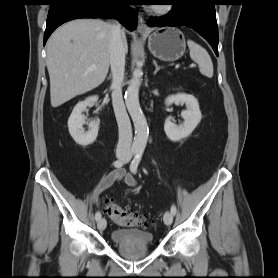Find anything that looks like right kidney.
<instances>
[{
    "instance_id": "1",
    "label": "right kidney",
    "mask_w": 278,
    "mask_h": 278,
    "mask_svg": "<svg viewBox=\"0 0 278 278\" xmlns=\"http://www.w3.org/2000/svg\"><path fill=\"white\" fill-rule=\"evenodd\" d=\"M98 97L92 96L87 98L85 101L79 102L73 109L69 119H68V128L71 137L74 141L81 145L87 146L93 143L98 135L99 130V121H92L89 123V130L85 132L83 125L85 124V118L82 115V112L90 104H97Z\"/></svg>"
}]
</instances>
